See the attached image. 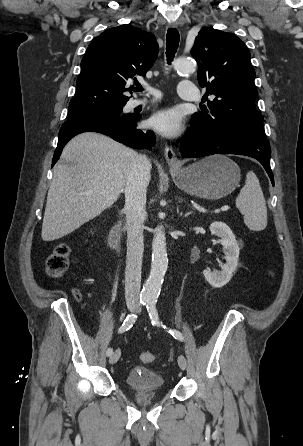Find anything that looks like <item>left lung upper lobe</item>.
<instances>
[{
    "label": "left lung upper lobe",
    "mask_w": 303,
    "mask_h": 446,
    "mask_svg": "<svg viewBox=\"0 0 303 446\" xmlns=\"http://www.w3.org/2000/svg\"><path fill=\"white\" fill-rule=\"evenodd\" d=\"M198 62L197 79L206 87L210 115L196 112L191 124L239 135L266 138L263 117L255 107V71L244 43L232 33L203 28L191 50Z\"/></svg>",
    "instance_id": "obj_1"
}]
</instances>
